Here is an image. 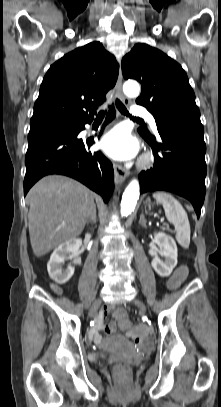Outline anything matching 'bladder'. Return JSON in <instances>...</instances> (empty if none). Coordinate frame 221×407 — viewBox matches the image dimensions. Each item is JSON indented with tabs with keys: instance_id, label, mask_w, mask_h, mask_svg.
I'll return each mask as SVG.
<instances>
[{
	"instance_id": "obj_1",
	"label": "bladder",
	"mask_w": 221,
	"mask_h": 407,
	"mask_svg": "<svg viewBox=\"0 0 221 407\" xmlns=\"http://www.w3.org/2000/svg\"><path fill=\"white\" fill-rule=\"evenodd\" d=\"M120 341L121 340L119 338H116V337L110 338L107 341V346L102 351L94 353V358H100V357L104 356L105 354H109V353L114 352L113 345L120 342Z\"/></svg>"
}]
</instances>
